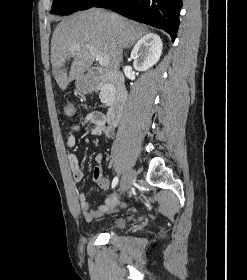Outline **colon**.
<instances>
[{"label":"colon","instance_id":"1","mask_svg":"<svg viewBox=\"0 0 247 280\" xmlns=\"http://www.w3.org/2000/svg\"><path fill=\"white\" fill-rule=\"evenodd\" d=\"M77 113V109H76V105L74 102H67L64 106V114L69 117V118H73L76 116Z\"/></svg>","mask_w":247,"mask_h":280}]
</instances>
